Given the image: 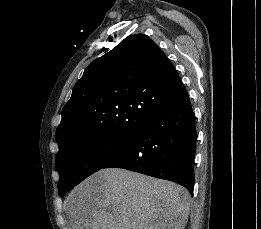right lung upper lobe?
Returning a JSON list of instances; mask_svg holds the SVG:
<instances>
[{
	"mask_svg": "<svg viewBox=\"0 0 261 229\" xmlns=\"http://www.w3.org/2000/svg\"><path fill=\"white\" fill-rule=\"evenodd\" d=\"M181 87L158 45L147 35H130L85 69L63 108L57 143L135 137Z\"/></svg>",
	"mask_w": 261,
	"mask_h": 229,
	"instance_id": "cb5924a9",
	"label": "right lung upper lobe"
}]
</instances>
